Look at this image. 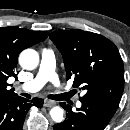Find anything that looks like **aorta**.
I'll use <instances>...</instances> for the list:
<instances>
[{
	"label": "aorta",
	"mask_w": 130,
	"mask_h": 130,
	"mask_svg": "<svg viewBox=\"0 0 130 130\" xmlns=\"http://www.w3.org/2000/svg\"><path fill=\"white\" fill-rule=\"evenodd\" d=\"M19 63L23 69L33 70L39 64V55L33 49H25L20 53ZM49 114L51 119L56 123L64 120V110L59 106L51 108Z\"/></svg>",
	"instance_id": "aorta-1"
}]
</instances>
